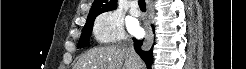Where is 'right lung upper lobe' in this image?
Segmentation results:
<instances>
[{"label": "right lung upper lobe", "mask_w": 246, "mask_h": 69, "mask_svg": "<svg viewBox=\"0 0 246 69\" xmlns=\"http://www.w3.org/2000/svg\"><path fill=\"white\" fill-rule=\"evenodd\" d=\"M117 7V0H94L89 11L87 21L95 20V18L106 11L114 10Z\"/></svg>", "instance_id": "cb5924a9"}]
</instances>
